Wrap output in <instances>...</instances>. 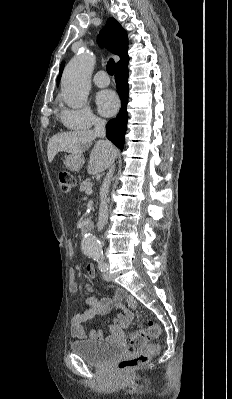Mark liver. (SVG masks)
<instances>
[{
	"instance_id": "liver-1",
	"label": "liver",
	"mask_w": 232,
	"mask_h": 399,
	"mask_svg": "<svg viewBox=\"0 0 232 399\" xmlns=\"http://www.w3.org/2000/svg\"><path fill=\"white\" fill-rule=\"evenodd\" d=\"M95 136L92 130H75V132H63L55 134L50 138L47 146L48 162H53L58 152H67V154H83L87 148H90ZM118 156V150L112 144L106 142H96L91 154L87 172L90 176L100 174L107 170L111 164V158Z\"/></svg>"
}]
</instances>
